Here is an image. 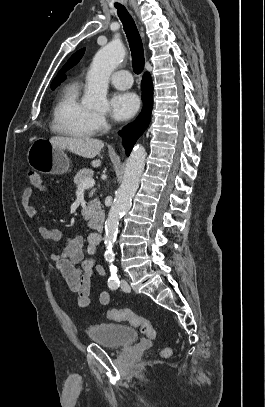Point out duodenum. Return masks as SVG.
Segmentation results:
<instances>
[{"mask_svg":"<svg viewBox=\"0 0 265 407\" xmlns=\"http://www.w3.org/2000/svg\"><path fill=\"white\" fill-rule=\"evenodd\" d=\"M89 226L101 232L104 228V214L101 211L92 214L89 218Z\"/></svg>","mask_w":265,"mask_h":407,"instance_id":"duodenum-1","label":"duodenum"}]
</instances>
